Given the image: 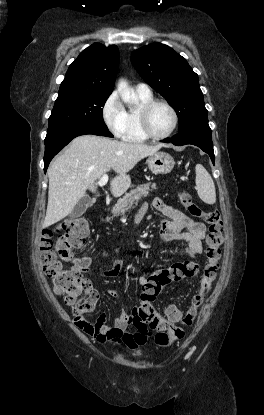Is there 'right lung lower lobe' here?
<instances>
[{
	"label": "right lung lower lobe",
	"mask_w": 264,
	"mask_h": 415,
	"mask_svg": "<svg viewBox=\"0 0 264 415\" xmlns=\"http://www.w3.org/2000/svg\"><path fill=\"white\" fill-rule=\"evenodd\" d=\"M93 134L99 136L113 137L108 131V128L99 127H82L70 132H67L55 139H52L45 143V155H44V171L48 168V165L52 158L63 149L72 139L80 135Z\"/></svg>",
	"instance_id": "right-lung-lower-lobe-1"
}]
</instances>
